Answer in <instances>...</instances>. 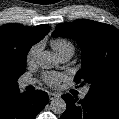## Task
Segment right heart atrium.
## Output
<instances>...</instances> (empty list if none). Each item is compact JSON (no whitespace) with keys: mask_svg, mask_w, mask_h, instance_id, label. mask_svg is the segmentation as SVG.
<instances>
[{"mask_svg":"<svg viewBox=\"0 0 119 119\" xmlns=\"http://www.w3.org/2000/svg\"><path fill=\"white\" fill-rule=\"evenodd\" d=\"M39 52H40V45L39 44L33 45L27 53V62L33 63L36 60Z\"/></svg>","mask_w":119,"mask_h":119,"instance_id":"d8ad5b80","label":"right heart atrium"}]
</instances>
